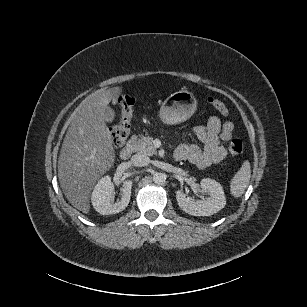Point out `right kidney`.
<instances>
[{
	"label": "right kidney",
	"mask_w": 307,
	"mask_h": 307,
	"mask_svg": "<svg viewBox=\"0 0 307 307\" xmlns=\"http://www.w3.org/2000/svg\"><path fill=\"white\" fill-rule=\"evenodd\" d=\"M131 182H126L122 188V198L113 203L114 188L110 175L102 176L94 186L91 193L92 207L102 215L115 214L124 210L131 195Z\"/></svg>",
	"instance_id": "obj_1"
}]
</instances>
